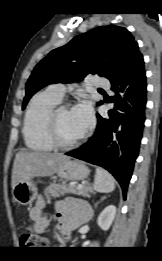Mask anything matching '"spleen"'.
I'll return each mask as SVG.
<instances>
[{"label":"spleen","mask_w":162,"mask_h":261,"mask_svg":"<svg viewBox=\"0 0 162 261\" xmlns=\"http://www.w3.org/2000/svg\"><path fill=\"white\" fill-rule=\"evenodd\" d=\"M93 188L100 193L112 192L115 189V180L108 171L97 167Z\"/></svg>","instance_id":"spleen-1"}]
</instances>
